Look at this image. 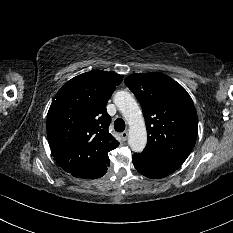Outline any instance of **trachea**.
Masks as SVG:
<instances>
[{
  "mask_svg": "<svg viewBox=\"0 0 233 233\" xmlns=\"http://www.w3.org/2000/svg\"><path fill=\"white\" fill-rule=\"evenodd\" d=\"M114 129L117 132H123L125 130V122L121 118H117L114 122Z\"/></svg>",
  "mask_w": 233,
  "mask_h": 233,
  "instance_id": "3493384b",
  "label": "trachea"
}]
</instances>
